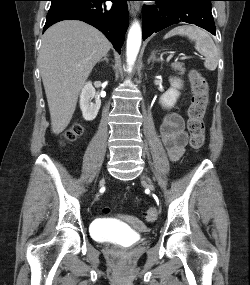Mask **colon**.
<instances>
[{
	"label": "colon",
	"mask_w": 250,
	"mask_h": 285,
	"mask_svg": "<svg viewBox=\"0 0 250 285\" xmlns=\"http://www.w3.org/2000/svg\"><path fill=\"white\" fill-rule=\"evenodd\" d=\"M189 81L192 90L191 104L188 109V131L190 133V146L193 150H200L205 143L204 115L209 101V85L206 78L197 70L189 73ZM83 133V127L75 124L64 135L66 141H75ZM109 208H104L103 213L108 214ZM158 212L155 208H149L144 213L148 222L156 220Z\"/></svg>",
	"instance_id": "obj_1"
}]
</instances>
